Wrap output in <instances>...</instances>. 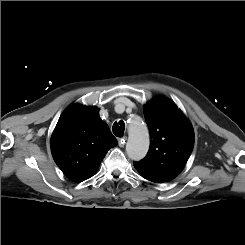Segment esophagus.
<instances>
[{
	"label": "esophagus",
	"mask_w": 245,
	"mask_h": 245,
	"mask_svg": "<svg viewBox=\"0 0 245 245\" xmlns=\"http://www.w3.org/2000/svg\"><path fill=\"white\" fill-rule=\"evenodd\" d=\"M126 141H127V137L126 136L120 138L119 141H118L119 146L120 147H124L125 144H126Z\"/></svg>",
	"instance_id": "obj_1"
}]
</instances>
